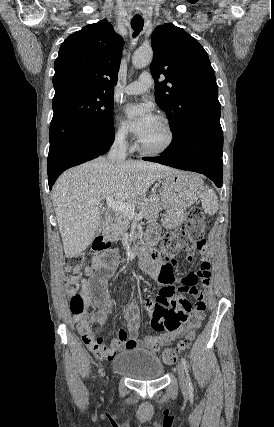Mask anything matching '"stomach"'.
<instances>
[{"label": "stomach", "mask_w": 274, "mask_h": 427, "mask_svg": "<svg viewBox=\"0 0 274 427\" xmlns=\"http://www.w3.org/2000/svg\"><path fill=\"white\" fill-rule=\"evenodd\" d=\"M195 180H200L197 174H185L178 172L169 174L161 180L160 198L164 204L165 214L161 219L162 225L167 229H174L181 225L185 208H190L194 204Z\"/></svg>", "instance_id": "obj_1"}]
</instances>
